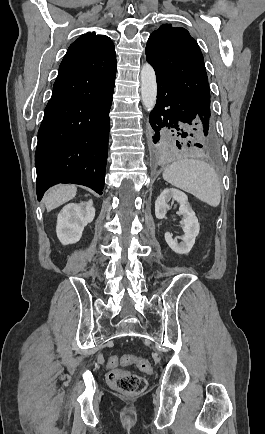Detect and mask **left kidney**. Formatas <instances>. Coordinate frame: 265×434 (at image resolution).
Returning a JSON list of instances; mask_svg holds the SVG:
<instances>
[{
  "label": "left kidney",
  "instance_id": "left-kidney-1",
  "mask_svg": "<svg viewBox=\"0 0 265 434\" xmlns=\"http://www.w3.org/2000/svg\"><path fill=\"white\" fill-rule=\"evenodd\" d=\"M170 200L177 202L180 206L177 214L183 216L182 224H184V226L182 230L184 236L181 238L182 242L178 244L177 240H173L170 232H166L165 240L171 250L176 252V254H189L195 244V238L199 234L198 218H196L195 212H193L184 192H179V190H175V188H165L155 202V216L158 220L165 218L167 210H169L167 202H170Z\"/></svg>",
  "mask_w": 265,
  "mask_h": 434
}]
</instances>
